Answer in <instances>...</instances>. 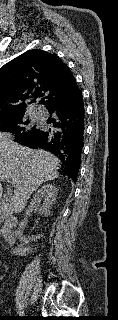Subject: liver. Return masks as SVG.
<instances>
[{
    "label": "liver",
    "instance_id": "obj_1",
    "mask_svg": "<svg viewBox=\"0 0 118 320\" xmlns=\"http://www.w3.org/2000/svg\"><path fill=\"white\" fill-rule=\"evenodd\" d=\"M60 160L48 151L22 146L10 134L0 132V181L14 182L15 189L0 203L5 215L21 212L30 195L44 182L59 176ZM2 185L0 183V200Z\"/></svg>",
    "mask_w": 118,
    "mask_h": 320
}]
</instances>
